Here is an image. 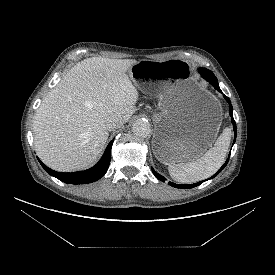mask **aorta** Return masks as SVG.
Here are the masks:
<instances>
[{
  "label": "aorta",
  "instance_id": "aorta-1",
  "mask_svg": "<svg viewBox=\"0 0 275 275\" xmlns=\"http://www.w3.org/2000/svg\"><path fill=\"white\" fill-rule=\"evenodd\" d=\"M133 133L138 137H147L151 131L150 123L145 119H138L132 125Z\"/></svg>",
  "mask_w": 275,
  "mask_h": 275
}]
</instances>
